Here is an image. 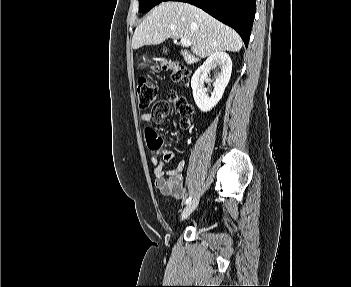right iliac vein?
Here are the masks:
<instances>
[{
    "label": "right iliac vein",
    "mask_w": 351,
    "mask_h": 287,
    "mask_svg": "<svg viewBox=\"0 0 351 287\" xmlns=\"http://www.w3.org/2000/svg\"><path fill=\"white\" fill-rule=\"evenodd\" d=\"M197 205H198L197 199L190 202L182 211L181 220L188 218L191 215V213L196 209Z\"/></svg>",
    "instance_id": "63e3f726"
}]
</instances>
